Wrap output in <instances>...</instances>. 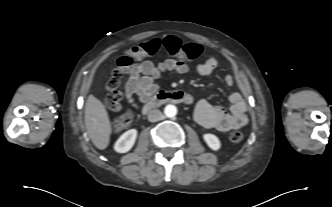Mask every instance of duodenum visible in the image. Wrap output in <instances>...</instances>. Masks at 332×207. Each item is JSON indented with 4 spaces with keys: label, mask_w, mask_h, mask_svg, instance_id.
I'll return each mask as SVG.
<instances>
[{
    "label": "duodenum",
    "mask_w": 332,
    "mask_h": 207,
    "mask_svg": "<svg viewBox=\"0 0 332 207\" xmlns=\"http://www.w3.org/2000/svg\"><path fill=\"white\" fill-rule=\"evenodd\" d=\"M166 103L190 104L191 97L183 91H160L143 106L142 113L147 114L154 108Z\"/></svg>",
    "instance_id": "duodenum-1"
}]
</instances>
